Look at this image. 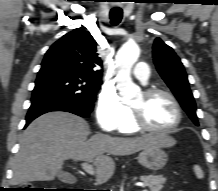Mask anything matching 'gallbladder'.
Here are the masks:
<instances>
[{
    "label": "gallbladder",
    "instance_id": "bac80fb5",
    "mask_svg": "<svg viewBox=\"0 0 218 191\" xmlns=\"http://www.w3.org/2000/svg\"><path fill=\"white\" fill-rule=\"evenodd\" d=\"M58 177H59L60 179H62V180H63V178H64V175H63V174H61V173H59V174H58Z\"/></svg>",
    "mask_w": 218,
    "mask_h": 191
}]
</instances>
